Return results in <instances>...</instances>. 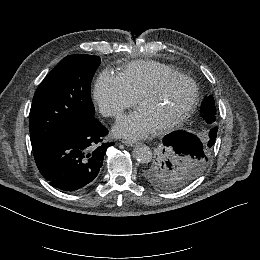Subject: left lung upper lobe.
Returning <instances> with one entry per match:
<instances>
[{
	"label": "left lung upper lobe",
	"mask_w": 260,
	"mask_h": 260,
	"mask_svg": "<svg viewBox=\"0 0 260 260\" xmlns=\"http://www.w3.org/2000/svg\"><path fill=\"white\" fill-rule=\"evenodd\" d=\"M206 99L210 104V119L206 125L192 130L204 143V153L183 155L166 144H161L155 157L142 169L143 178L149 184L162 190L177 191L194 182L206 169L213 152V145L208 144L210 131L217 125L214 98L209 96Z\"/></svg>",
	"instance_id": "5c2ea615"
}]
</instances>
